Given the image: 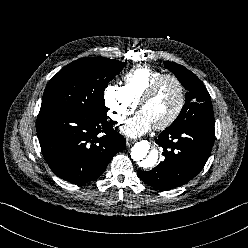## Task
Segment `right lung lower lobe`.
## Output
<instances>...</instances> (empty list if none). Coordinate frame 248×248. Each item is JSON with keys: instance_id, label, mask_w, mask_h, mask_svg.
Wrapping results in <instances>:
<instances>
[{"instance_id": "obj_1", "label": "right lung lower lobe", "mask_w": 248, "mask_h": 248, "mask_svg": "<svg viewBox=\"0 0 248 248\" xmlns=\"http://www.w3.org/2000/svg\"><path fill=\"white\" fill-rule=\"evenodd\" d=\"M107 117L74 112L42 110L37 135L42 154L60 178L83 184L98 178L112 157L126 148L125 138Z\"/></svg>"}]
</instances>
